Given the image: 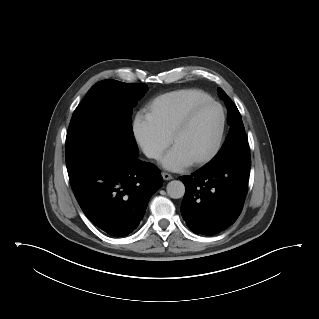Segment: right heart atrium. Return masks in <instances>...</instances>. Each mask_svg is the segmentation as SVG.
I'll return each mask as SVG.
<instances>
[{"label":"right heart atrium","mask_w":319,"mask_h":319,"mask_svg":"<svg viewBox=\"0 0 319 319\" xmlns=\"http://www.w3.org/2000/svg\"><path fill=\"white\" fill-rule=\"evenodd\" d=\"M133 135L145 155L159 159L168 146V139L143 112H138L132 124Z\"/></svg>","instance_id":"1"}]
</instances>
